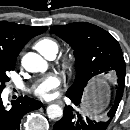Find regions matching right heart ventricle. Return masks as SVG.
Returning a JSON list of instances; mask_svg holds the SVG:
<instances>
[{"label":"right heart ventricle","mask_w":130,"mask_h":130,"mask_svg":"<svg viewBox=\"0 0 130 130\" xmlns=\"http://www.w3.org/2000/svg\"><path fill=\"white\" fill-rule=\"evenodd\" d=\"M34 47L44 57L47 58L50 55H56L58 52L59 44L55 39L51 37H43L35 42Z\"/></svg>","instance_id":"1"}]
</instances>
